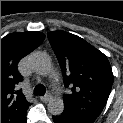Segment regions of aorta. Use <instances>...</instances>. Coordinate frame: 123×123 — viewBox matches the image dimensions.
Here are the masks:
<instances>
[{"mask_svg":"<svg viewBox=\"0 0 123 123\" xmlns=\"http://www.w3.org/2000/svg\"><path fill=\"white\" fill-rule=\"evenodd\" d=\"M30 63L33 70L40 74L46 75L50 73L52 65L48 55L44 52H35L31 55ZM47 109L54 116L60 115L64 110V102L60 97H53L47 104Z\"/></svg>","mask_w":123,"mask_h":123,"instance_id":"aorta-1","label":"aorta"}]
</instances>
